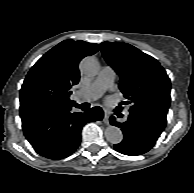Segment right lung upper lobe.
Wrapping results in <instances>:
<instances>
[{
	"mask_svg": "<svg viewBox=\"0 0 194 193\" xmlns=\"http://www.w3.org/2000/svg\"><path fill=\"white\" fill-rule=\"evenodd\" d=\"M98 49V44L65 40L43 55L28 72L20 90V116L73 104L69 96L71 87L80 79L78 64Z\"/></svg>",
	"mask_w": 194,
	"mask_h": 193,
	"instance_id": "1",
	"label": "right lung upper lobe"
}]
</instances>
